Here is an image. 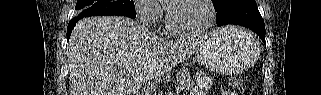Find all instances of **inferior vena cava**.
Listing matches in <instances>:
<instances>
[{"mask_svg":"<svg viewBox=\"0 0 321 95\" xmlns=\"http://www.w3.org/2000/svg\"><path fill=\"white\" fill-rule=\"evenodd\" d=\"M153 90L152 88L146 87L144 88V90L142 91V95H152Z\"/></svg>","mask_w":321,"mask_h":95,"instance_id":"1","label":"inferior vena cava"}]
</instances>
